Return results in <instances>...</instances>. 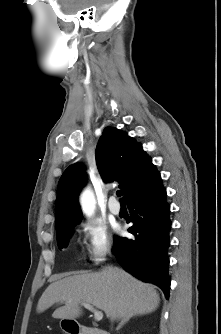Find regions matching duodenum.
<instances>
[{
	"instance_id": "duodenum-1",
	"label": "duodenum",
	"mask_w": 221,
	"mask_h": 334,
	"mask_svg": "<svg viewBox=\"0 0 221 334\" xmlns=\"http://www.w3.org/2000/svg\"><path fill=\"white\" fill-rule=\"evenodd\" d=\"M70 334H109L106 330L96 328V327H73L68 330Z\"/></svg>"
}]
</instances>
